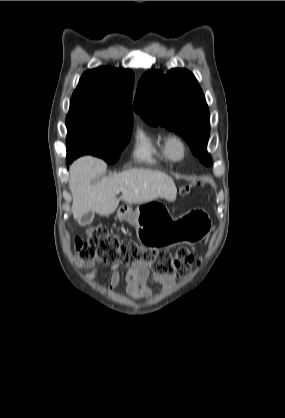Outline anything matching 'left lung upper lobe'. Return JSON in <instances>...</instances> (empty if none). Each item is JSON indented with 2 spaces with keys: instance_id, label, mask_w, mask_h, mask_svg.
I'll return each instance as SVG.
<instances>
[{
  "instance_id": "obj_1",
  "label": "left lung upper lobe",
  "mask_w": 285,
  "mask_h": 418,
  "mask_svg": "<svg viewBox=\"0 0 285 418\" xmlns=\"http://www.w3.org/2000/svg\"><path fill=\"white\" fill-rule=\"evenodd\" d=\"M134 110L148 124L161 125L180 134L202 163L212 164L206 150L210 133L209 109L191 72L175 68L166 75L159 70L145 73L137 87Z\"/></svg>"
}]
</instances>
